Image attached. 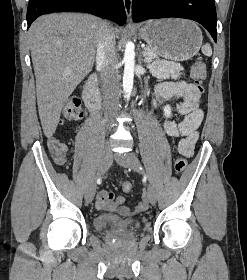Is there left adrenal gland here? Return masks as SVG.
Listing matches in <instances>:
<instances>
[{
  "instance_id": "1",
  "label": "left adrenal gland",
  "mask_w": 247,
  "mask_h": 280,
  "mask_svg": "<svg viewBox=\"0 0 247 280\" xmlns=\"http://www.w3.org/2000/svg\"><path fill=\"white\" fill-rule=\"evenodd\" d=\"M139 63L142 64V58L141 57L139 58Z\"/></svg>"
}]
</instances>
